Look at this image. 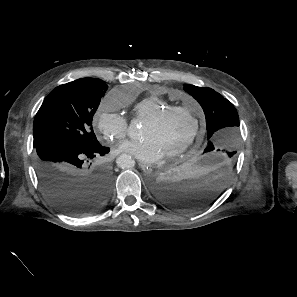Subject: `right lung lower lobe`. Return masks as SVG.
<instances>
[{
  "instance_id": "right-lung-lower-lobe-1",
  "label": "right lung lower lobe",
  "mask_w": 297,
  "mask_h": 297,
  "mask_svg": "<svg viewBox=\"0 0 297 297\" xmlns=\"http://www.w3.org/2000/svg\"><path fill=\"white\" fill-rule=\"evenodd\" d=\"M34 147L39 182L54 206L71 215L90 214L102 207L110 193L111 173L103 164L88 163L106 155L109 148L82 147L63 139Z\"/></svg>"
}]
</instances>
